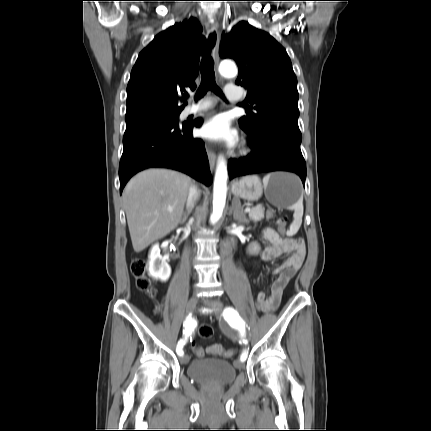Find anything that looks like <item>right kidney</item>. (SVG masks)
Here are the masks:
<instances>
[{"label":"right kidney","instance_id":"ca27d5eb","mask_svg":"<svg viewBox=\"0 0 431 431\" xmlns=\"http://www.w3.org/2000/svg\"><path fill=\"white\" fill-rule=\"evenodd\" d=\"M148 265V271L151 277L159 279L163 282L169 279L171 275V267L160 254L159 244L152 246Z\"/></svg>","mask_w":431,"mask_h":431}]
</instances>
